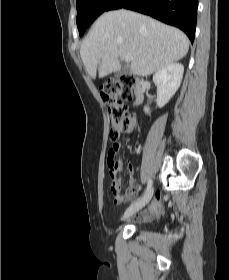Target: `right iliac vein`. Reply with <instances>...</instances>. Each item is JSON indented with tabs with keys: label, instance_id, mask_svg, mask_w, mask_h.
<instances>
[{
	"label": "right iliac vein",
	"instance_id": "1",
	"mask_svg": "<svg viewBox=\"0 0 229 280\" xmlns=\"http://www.w3.org/2000/svg\"><path fill=\"white\" fill-rule=\"evenodd\" d=\"M153 194V190L151 189L142 199L138 200L136 203L132 204L130 207L126 209L123 215V219H126L133 215L135 212L142 209L148 202L150 201Z\"/></svg>",
	"mask_w": 229,
	"mask_h": 280
}]
</instances>
